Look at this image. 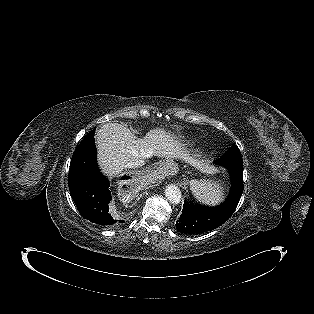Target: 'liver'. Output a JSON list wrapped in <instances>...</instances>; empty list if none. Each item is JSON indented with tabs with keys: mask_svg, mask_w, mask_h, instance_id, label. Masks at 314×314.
Here are the masks:
<instances>
[{
	"mask_svg": "<svg viewBox=\"0 0 314 314\" xmlns=\"http://www.w3.org/2000/svg\"><path fill=\"white\" fill-rule=\"evenodd\" d=\"M95 138L99 165L110 178L119 175L127 163L135 160H148L152 156L186 159L180 143L164 129L151 130L140 139L124 125L106 123Z\"/></svg>",
	"mask_w": 314,
	"mask_h": 314,
	"instance_id": "6515ba94",
	"label": "liver"
}]
</instances>
